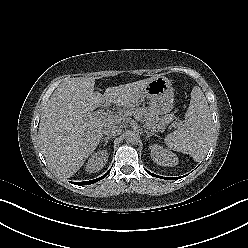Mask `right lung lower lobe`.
Returning <instances> with one entry per match:
<instances>
[{
	"instance_id": "obj_1",
	"label": "right lung lower lobe",
	"mask_w": 248,
	"mask_h": 248,
	"mask_svg": "<svg viewBox=\"0 0 248 248\" xmlns=\"http://www.w3.org/2000/svg\"><path fill=\"white\" fill-rule=\"evenodd\" d=\"M110 170L105 175H103V176H101V177H99L97 179L90 180V181H85V182H74V184L75 185H89V184H92V183L97 182V181H99L101 179H104L108 175V173L110 172Z\"/></svg>"
}]
</instances>
